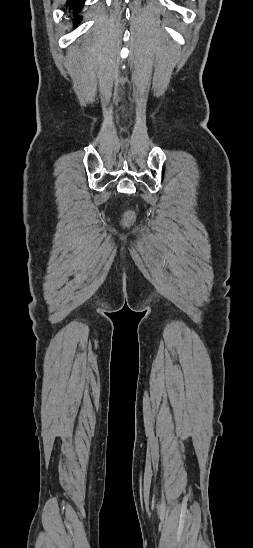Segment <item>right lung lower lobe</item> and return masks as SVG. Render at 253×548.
Returning <instances> with one entry per match:
<instances>
[{"instance_id": "98d812e1", "label": "right lung lower lobe", "mask_w": 253, "mask_h": 548, "mask_svg": "<svg viewBox=\"0 0 253 548\" xmlns=\"http://www.w3.org/2000/svg\"><path fill=\"white\" fill-rule=\"evenodd\" d=\"M85 0H67L68 6L73 8L75 11L80 10L83 6ZM78 22V17H75ZM80 20V19H79Z\"/></svg>"}]
</instances>
